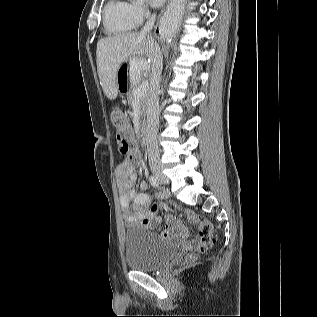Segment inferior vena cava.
Returning a JSON list of instances; mask_svg holds the SVG:
<instances>
[{
  "mask_svg": "<svg viewBox=\"0 0 317 317\" xmlns=\"http://www.w3.org/2000/svg\"><path fill=\"white\" fill-rule=\"evenodd\" d=\"M155 14H153L145 23L141 30V35H146L153 43V60L151 73V91L147 99V119L145 128V141L147 146L148 158L152 169L160 166V152L157 142V133L159 126V88L161 73L163 68V57L159 45L154 41L151 30L154 26Z\"/></svg>",
  "mask_w": 317,
  "mask_h": 317,
  "instance_id": "602c4592",
  "label": "inferior vena cava"
}]
</instances>
